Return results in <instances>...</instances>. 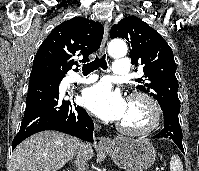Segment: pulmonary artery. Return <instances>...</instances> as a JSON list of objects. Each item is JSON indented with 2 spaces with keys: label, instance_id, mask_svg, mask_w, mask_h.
Instances as JSON below:
<instances>
[{
  "label": "pulmonary artery",
  "instance_id": "pulmonary-artery-1",
  "mask_svg": "<svg viewBox=\"0 0 199 171\" xmlns=\"http://www.w3.org/2000/svg\"><path fill=\"white\" fill-rule=\"evenodd\" d=\"M113 74L118 76H126L130 73V64L129 61L126 59L117 60L114 62L113 65ZM97 79L96 75H91L87 78H80V77H74L72 79L73 82L78 83H92Z\"/></svg>",
  "mask_w": 199,
  "mask_h": 171
}]
</instances>
